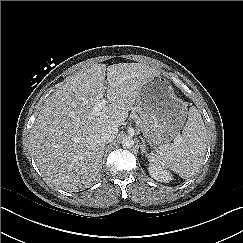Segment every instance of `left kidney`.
I'll use <instances>...</instances> for the list:
<instances>
[{"label": "left kidney", "mask_w": 243, "mask_h": 243, "mask_svg": "<svg viewBox=\"0 0 243 243\" xmlns=\"http://www.w3.org/2000/svg\"><path fill=\"white\" fill-rule=\"evenodd\" d=\"M149 174L152 178L160 182H168L172 179V176L167 171L155 166L149 167Z\"/></svg>", "instance_id": "1"}]
</instances>
